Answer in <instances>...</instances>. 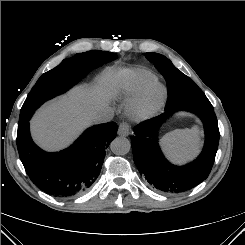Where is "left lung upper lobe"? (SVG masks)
Segmentation results:
<instances>
[{
  "label": "left lung upper lobe",
  "mask_w": 245,
  "mask_h": 245,
  "mask_svg": "<svg viewBox=\"0 0 245 245\" xmlns=\"http://www.w3.org/2000/svg\"><path fill=\"white\" fill-rule=\"evenodd\" d=\"M145 57L152 62L166 79L170 95L168 97V108L182 105L211 107V103L203 91L192 79L178 70L165 56L158 53H146ZM204 95L199 98L197 95Z\"/></svg>",
  "instance_id": "left-lung-upper-lobe-1"
}]
</instances>
